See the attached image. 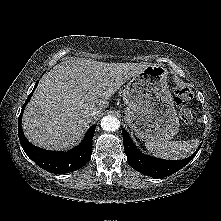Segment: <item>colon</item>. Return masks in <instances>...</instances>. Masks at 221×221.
I'll list each match as a JSON object with an SVG mask.
<instances>
[{
    "label": "colon",
    "instance_id": "1",
    "mask_svg": "<svg viewBox=\"0 0 221 221\" xmlns=\"http://www.w3.org/2000/svg\"><path fill=\"white\" fill-rule=\"evenodd\" d=\"M174 93L175 101L180 108L181 120L186 124L191 123L193 117L191 111L187 108V105H189L193 100L192 91L188 87L177 86Z\"/></svg>",
    "mask_w": 221,
    "mask_h": 221
}]
</instances>
